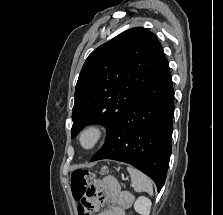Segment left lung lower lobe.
Returning <instances> with one entry per match:
<instances>
[{
  "label": "left lung lower lobe",
  "mask_w": 223,
  "mask_h": 215,
  "mask_svg": "<svg viewBox=\"0 0 223 215\" xmlns=\"http://www.w3.org/2000/svg\"><path fill=\"white\" fill-rule=\"evenodd\" d=\"M173 114L174 90L165 60L91 162L112 159L131 164L152 178L159 192L171 154Z\"/></svg>",
  "instance_id": "0a47b994"
}]
</instances>
